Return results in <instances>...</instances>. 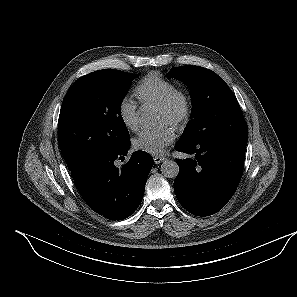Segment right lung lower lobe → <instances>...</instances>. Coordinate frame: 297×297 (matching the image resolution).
<instances>
[{
    "instance_id": "98d812e1",
    "label": "right lung lower lobe",
    "mask_w": 297,
    "mask_h": 297,
    "mask_svg": "<svg viewBox=\"0 0 297 297\" xmlns=\"http://www.w3.org/2000/svg\"><path fill=\"white\" fill-rule=\"evenodd\" d=\"M129 147L130 142L114 152L95 154L70 170L87 205L107 219L123 220L138 208L154 163L148 153L136 151L118 167Z\"/></svg>"
}]
</instances>
